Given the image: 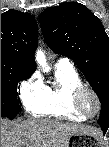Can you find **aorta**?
Instances as JSON below:
<instances>
[{
  "mask_svg": "<svg viewBox=\"0 0 109 147\" xmlns=\"http://www.w3.org/2000/svg\"><path fill=\"white\" fill-rule=\"evenodd\" d=\"M35 60L37 64L43 69L44 72H49L50 67L47 64L45 54L42 50H37L35 55Z\"/></svg>",
  "mask_w": 109,
  "mask_h": 147,
  "instance_id": "obj_1",
  "label": "aorta"
}]
</instances>
